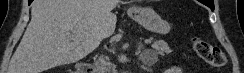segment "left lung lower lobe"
Instances as JSON below:
<instances>
[{
    "mask_svg": "<svg viewBox=\"0 0 244 73\" xmlns=\"http://www.w3.org/2000/svg\"><path fill=\"white\" fill-rule=\"evenodd\" d=\"M212 1L213 0H204V1L203 0H200L201 3L207 5L213 11L214 10V2H213V6H212Z\"/></svg>",
    "mask_w": 244,
    "mask_h": 73,
    "instance_id": "0a47b994",
    "label": "left lung lower lobe"
}]
</instances>
